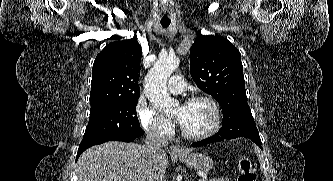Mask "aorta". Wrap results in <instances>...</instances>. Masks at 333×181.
Here are the masks:
<instances>
[{"instance_id":"1","label":"aorta","mask_w":333,"mask_h":181,"mask_svg":"<svg viewBox=\"0 0 333 181\" xmlns=\"http://www.w3.org/2000/svg\"><path fill=\"white\" fill-rule=\"evenodd\" d=\"M180 60L176 56L160 58L145 77V93L151 104L158 110L168 113L178 105L167 92L166 83L178 68Z\"/></svg>"}]
</instances>
